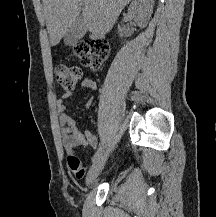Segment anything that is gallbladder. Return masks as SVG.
<instances>
[{"mask_svg":"<svg viewBox=\"0 0 216 217\" xmlns=\"http://www.w3.org/2000/svg\"><path fill=\"white\" fill-rule=\"evenodd\" d=\"M86 30L84 28L81 16H78L64 36V43L67 46H74L84 37Z\"/></svg>","mask_w":216,"mask_h":217,"instance_id":"1","label":"gallbladder"}]
</instances>
